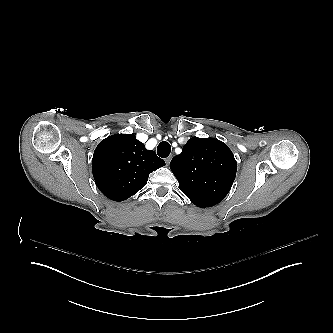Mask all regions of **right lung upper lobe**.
I'll return each mask as SVG.
<instances>
[{
  "label": "right lung upper lobe",
  "instance_id": "obj_1",
  "mask_svg": "<svg viewBox=\"0 0 333 333\" xmlns=\"http://www.w3.org/2000/svg\"><path fill=\"white\" fill-rule=\"evenodd\" d=\"M165 165L133 134H116L102 140L92 158L99 190L113 201H123L142 189L154 170Z\"/></svg>",
  "mask_w": 333,
  "mask_h": 333
}]
</instances>
